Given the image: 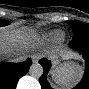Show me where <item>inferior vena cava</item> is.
Instances as JSON below:
<instances>
[{
    "label": "inferior vena cava",
    "instance_id": "602c4592",
    "mask_svg": "<svg viewBox=\"0 0 89 89\" xmlns=\"http://www.w3.org/2000/svg\"><path fill=\"white\" fill-rule=\"evenodd\" d=\"M24 56H19V57H12L14 61L21 60Z\"/></svg>",
    "mask_w": 89,
    "mask_h": 89
}]
</instances>
